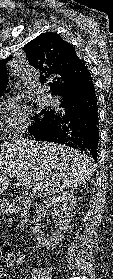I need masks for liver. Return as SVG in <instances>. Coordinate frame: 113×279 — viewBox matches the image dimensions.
I'll use <instances>...</instances> for the list:
<instances>
[{
	"label": "liver",
	"mask_w": 113,
	"mask_h": 279,
	"mask_svg": "<svg viewBox=\"0 0 113 279\" xmlns=\"http://www.w3.org/2000/svg\"><path fill=\"white\" fill-rule=\"evenodd\" d=\"M7 171L27 178L33 194L44 198L86 183L95 164L91 157L68 146L12 139L1 144L0 194L10 185Z\"/></svg>",
	"instance_id": "liver-1"
}]
</instances>
